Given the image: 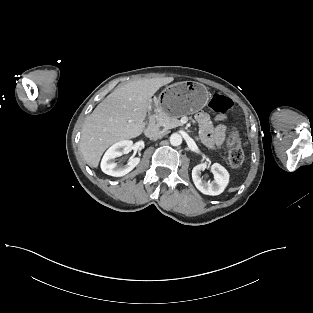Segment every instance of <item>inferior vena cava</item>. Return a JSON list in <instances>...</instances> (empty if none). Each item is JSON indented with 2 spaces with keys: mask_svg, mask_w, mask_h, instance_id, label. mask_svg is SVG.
<instances>
[{
  "mask_svg": "<svg viewBox=\"0 0 313 313\" xmlns=\"http://www.w3.org/2000/svg\"><path fill=\"white\" fill-rule=\"evenodd\" d=\"M165 134H166L165 130L160 131V130L153 129L147 132V135L151 140H157L163 137Z\"/></svg>",
  "mask_w": 313,
  "mask_h": 313,
  "instance_id": "1",
  "label": "inferior vena cava"
}]
</instances>
